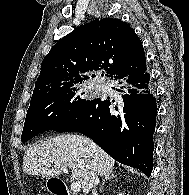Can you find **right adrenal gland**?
<instances>
[{"label":"right adrenal gland","mask_w":189,"mask_h":195,"mask_svg":"<svg viewBox=\"0 0 189 195\" xmlns=\"http://www.w3.org/2000/svg\"><path fill=\"white\" fill-rule=\"evenodd\" d=\"M113 178H116V175L113 173V172H108L105 176H104V180H103V182H102V184H101V186H100V193H102V191H103V186H104V184H105V182L107 181V180H111V179H113Z\"/></svg>","instance_id":"2a0ac1e0"}]
</instances>
